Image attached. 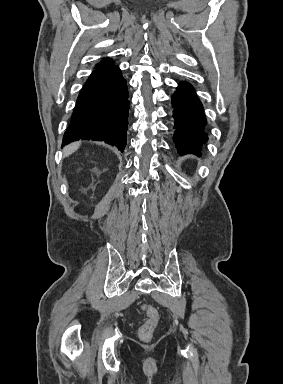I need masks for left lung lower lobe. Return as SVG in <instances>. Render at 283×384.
I'll return each instance as SVG.
<instances>
[{
  "label": "left lung lower lobe",
  "instance_id": "obj_1",
  "mask_svg": "<svg viewBox=\"0 0 283 384\" xmlns=\"http://www.w3.org/2000/svg\"><path fill=\"white\" fill-rule=\"evenodd\" d=\"M172 107L175 121L173 140L178 153L201 155L203 144L208 140L206 117L191 84L179 83L172 96Z\"/></svg>",
  "mask_w": 283,
  "mask_h": 384
}]
</instances>
